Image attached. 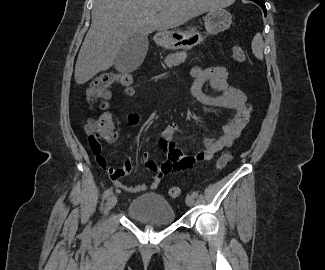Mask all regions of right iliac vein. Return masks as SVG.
<instances>
[{
  "label": "right iliac vein",
  "mask_w": 325,
  "mask_h": 270,
  "mask_svg": "<svg viewBox=\"0 0 325 270\" xmlns=\"http://www.w3.org/2000/svg\"><path fill=\"white\" fill-rule=\"evenodd\" d=\"M117 203V196L112 195L107 199L104 214L106 215L109 210H111Z\"/></svg>",
  "instance_id": "right-iliac-vein-1"
}]
</instances>
